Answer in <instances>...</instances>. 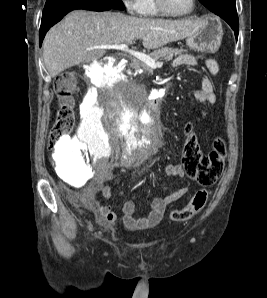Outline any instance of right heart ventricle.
Returning a JSON list of instances; mask_svg holds the SVG:
<instances>
[{
    "label": "right heart ventricle",
    "mask_w": 267,
    "mask_h": 298,
    "mask_svg": "<svg viewBox=\"0 0 267 298\" xmlns=\"http://www.w3.org/2000/svg\"><path fill=\"white\" fill-rule=\"evenodd\" d=\"M140 15L145 18H158L163 16L156 8L154 0H142Z\"/></svg>",
    "instance_id": "e07e8e85"
}]
</instances>
